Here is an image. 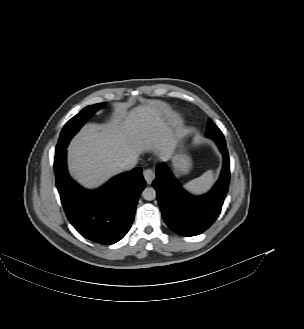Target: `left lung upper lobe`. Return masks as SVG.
<instances>
[{"label":"left lung upper lobe","mask_w":304,"mask_h":329,"mask_svg":"<svg viewBox=\"0 0 304 329\" xmlns=\"http://www.w3.org/2000/svg\"><path fill=\"white\" fill-rule=\"evenodd\" d=\"M213 123L211 122V119L208 120V129L209 130L212 127Z\"/></svg>","instance_id":"1"}]
</instances>
